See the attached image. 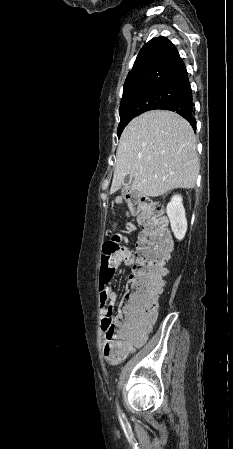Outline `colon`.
<instances>
[{
    "instance_id": "5ec220e1",
    "label": "colon",
    "mask_w": 233,
    "mask_h": 449,
    "mask_svg": "<svg viewBox=\"0 0 233 449\" xmlns=\"http://www.w3.org/2000/svg\"><path fill=\"white\" fill-rule=\"evenodd\" d=\"M123 202L131 211H139L138 220L143 231L136 253L137 263L124 293L121 316L117 317L108 310L103 319L104 355L112 362L120 361L127 347L133 343L137 324L156 317L158 297L163 288L164 264L172 246L161 203L136 193L126 194ZM117 226L116 223L115 228ZM122 241V236L115 234L104 243L100 288L121 258L129 256V250L122 246Z\"/></svg>"
}]
</instances>
